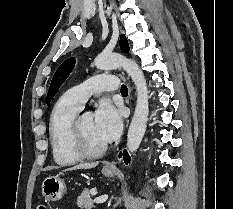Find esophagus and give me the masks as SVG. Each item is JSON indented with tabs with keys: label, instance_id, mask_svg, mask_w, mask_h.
<instances>
[{
	"label": "esophagus",
	"instance_id": "34e87169",
	"mask_svg": "<svg viewBox=\"0 0 233 209\" xmlns=\"http://www.w3.org/2000/svg\"><path fill=\"white\" fill-rule=\"evenodd\" d=\"M107 167H109V168H115V166L112 165V164L107 165Z\"/></svg>",
	"mask_w": 233,
	"mask_h": 209
}]
</instances>
